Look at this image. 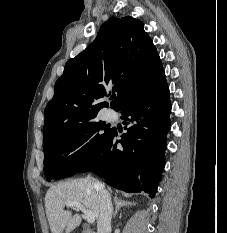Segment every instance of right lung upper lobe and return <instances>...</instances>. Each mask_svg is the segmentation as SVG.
<instances>
[{"label":"right lung upper lobe","mask_w":227,"mask_h":233,"mask_svg":"<svg viewBox=\"0 0 227 233\" xmlns=\"http://www.w3.org/2000/svg\"><path fill=\"white\" fill-rule=\"evenodd\" d=\"M165 80L162 63L141 21L110 18L84 51L66 62L45 109L44 145L95 120L108 91L116 111Z\"/></svg>","instance_id":"right-lung-upper-lobe-1"}]
</instances>
